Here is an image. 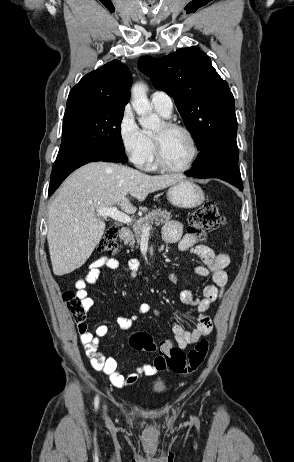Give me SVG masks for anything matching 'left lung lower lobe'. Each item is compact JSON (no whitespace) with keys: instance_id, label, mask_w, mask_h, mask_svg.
<instances>
[{"instance_id":"1","label":"left lung lower lobe","mask_w":294,"mask_h":462,"mask_svg":"<svg viewBox=\"0 0 294 462\" xmlns=\"http://www.w3.org/2000/svg\"><path fill=\"white\" fill-rule=\"evenodd\" d=\"M185 174L196 178H219L243 190L236 139L224 140L201 151L193 168Z\"/></svg>"}]
</instances>
